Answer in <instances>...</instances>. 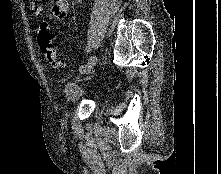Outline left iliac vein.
I'll return each mask as SVG.
<instances>
[{
  "instance_id": "4c4485c4",
  "label": "left iliac vein",
  "mask_w": 221,
  "mask_h": 174,
  "mask_svg": "<svg viewBox=\"0 0 221 174\" xmlns=\"http://www.w3.org/2000/svg\"><path fill=\"white\" fill-rule=\"evenodd\" d=\"M96 62H97V57L96 55H92L89 60H88V63H87V67H86V73H91L93 68L95 67L96 65Z\"/></svg>"
}]
</instances>
